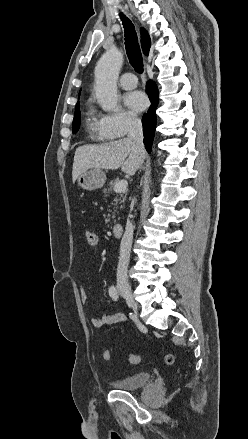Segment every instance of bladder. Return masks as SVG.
I'll list each match as a JSON object with an SVG mask.
<instances>
[{
  "label": "bladder",
  "mask_w": 248,
  "mask_h": 439,
  "mask_svg": "<svg viewBox=\"0 0 248 439\" xmlns=\"http://www.w3.org/2000/svg\"><path fill=\"white\" fill-rule=\"evenodd\" d=\"M150 383V374L147 372H137L125 376L120 379H116L112 382V385L123 391H132Z\"/></svg>",
  "instance_id": "bladder-1"
}]
</instances>
